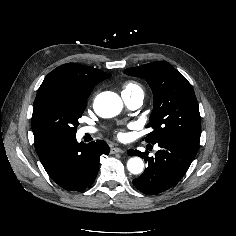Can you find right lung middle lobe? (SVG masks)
Returning a JSON list of instances; mask_svg holds the SVG:
<instances>
[{
  "instance_id": "dd1d6c3e",
  "label": "right lung middle lobe",
  "mask_w": 236,
  "mask_h": 236,
  "mask_svg": "<svg viewBox=\"0 0 236 236\" xmlns=\"http://www.w3.org/2000/svg\"><path fill=\"white\" fill-rule=\"evenodd\" d=\"M87 98L61 86L40 87L33 104L34 139L76 135Z\"/></svg>"
}]
</instances>
